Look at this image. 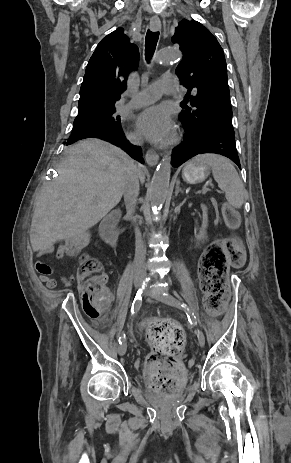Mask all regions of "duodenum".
Listing matches in <instances>:
<instances>
[{"label":"duodenum","mask_w":291,"mask_h":463,"mask_svg":"<svg viewBox=\"0 0 291 463\" xmlns=\"http://www.w3.org/2000/svg\"><path fill=\"white\" fill-rule=\"evenodd\" d=\"M120 216V211L118 209H113L110 214L103 218L100 224L101 236L111 247H116L119 243V231L116 228V224Z\"/></svg>","instance_id":"duodenum-1"}]
</instances>
